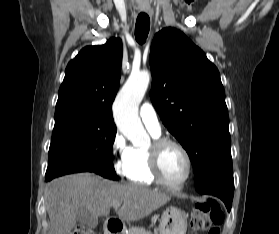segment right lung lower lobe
<instances>
[{"label": "right lung lower lobe", "instance_id": "right-lung-lower-lobe-1", "mask_svg": "<svg viewBox=\"0 0 279 234\" xmlns=\"http://www.w3.org/2000/svg\"><path fill=\"white\" fill-rule=\"evenodd\" d=\"M84 171H89L88 168L84 165H68L65 167H62L59 172H57L55 175L46 177V181H50L55 177L69 174V173H76V172H84Z\"/></svg>", "mask_w": 279, "mask_h": 234}]
</instances>
